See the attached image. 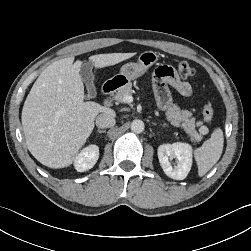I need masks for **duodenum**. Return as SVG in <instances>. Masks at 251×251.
<instances>
[{"mask_svg": "<svg viewBox=\"0 0 251 251\" xmlns=\"http://www.w3.org/2000/svg\"><path fill=\"white\" fill-rule=\"evenodd\" d=\"M119 84L116 81H110L107 82L103 87H102V94L104 95H109L112 92H114L118 88Z\"/></svg>", "mask_w": 251, "mask_h": 251, "instance_id": "obj_1", "label": "duodenum"}]
</instances>
